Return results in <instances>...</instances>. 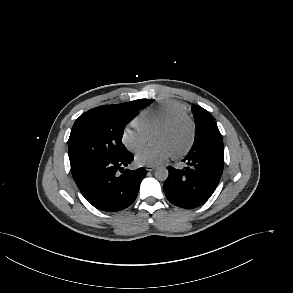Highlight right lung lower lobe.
<instances>
[{
    "label": "right lung lower lobe",
    "instance_id": "98d812e1",
    "mask_svg": "<svg viewBox=\"0 0 293 293\" xmlns=\"http://www.w3.org/2000/svg\"><path fill=\"white\" fill-rule=\"evenodd\" d=\"M133 159L127 151L91 164L73 179L82 195L97 209L107 212L123 210L135 201L140 183L147 174L144 168L124 170ZM118 171L123 173L119 175Z\"/></svg>",
    "mask_w": 293,
    "mask_h": 293
}]
</instances>
